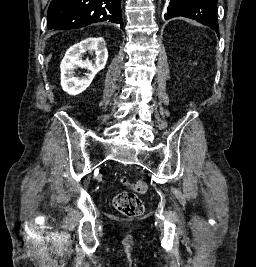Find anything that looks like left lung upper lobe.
I'll list each match as a JSON object with an SVG mask.
<instances>
[{
    "label": "left lung upper lobe",
    "instance_id": "left-lung-upper-lobe-1",
    "mask_svg": "<svg viewBox=\"0 0 256 267\" xmlns=\"http://www.w3.org/2000/svg\"><path fill=\"white\" fill-rule=\"evenodd\" d=\"M183 16L206 25L219 35L217 0H171L165 19Z\"/></svg>",
    "mask_w": 256,
    "mask_h": 267
}]
</instances>
